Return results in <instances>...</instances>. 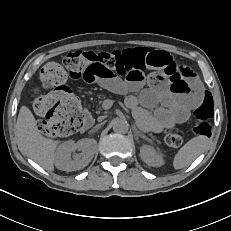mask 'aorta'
<instances>
[{
	"label": "aorta",
	"mask_w": 231,
	"mask_h": 231,
	"mask_svg": "<svg viewBox=\"0 0 231 231\" xmlns=\"http://www.w3.org/2000/svg\"><path fill=\"white\" fill-rule=\"evenodd\" d=\"M112 125H113V130L115 133L125 134L129 130L128 122L123 119H115Z\"/></svg>",
	"instance_id": "1"
}]
</instances>
